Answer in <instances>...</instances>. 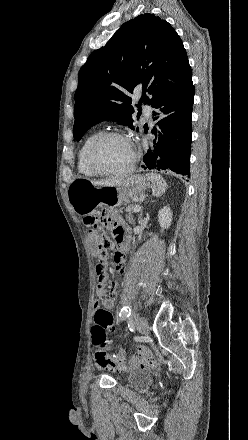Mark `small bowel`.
I'll use <instances>...</instances> for the list:
<instances>
[{
    "instance_id": "obj_1",
    "label": "small bowel",
    "mask_w": 248,
    "mask_h": 440,
    "mask_svg": "<svg viewBox=\"0 0 248 440\" xmlns=\"http://www.w3.org/2000/svg\"><path fill=\"white\" fill-rule=\"evenodd\" d=\"M105 225L112 231L117 243L119 246H128V237L126 235V228L122 221V219L114 214L108 217ZM115 262H116V269L119 272H124L128 268V260L127 258L123 257L121 254H117L115 256ZM109 268L108 260L105 257H102L97 260V294L100 297V300H98L95 303V307L97 308L102 307L106 310H110L114 307L115 299L117 296V293H123L126 290L125 285L120 284L118 280L112 279L109 280L107 283H105L108 280V273L107 270ZM112 287L109 292L107 291V288ZM140 352L143 354V357H133L130 360L131 366H140L144 367L150 362V357L148 353L144 349H140ZM98 364V363H97ZM99 365V364H98ZM100 367L104 368L103 366L99 365Z\"/></svg>"
}]
</instances>
